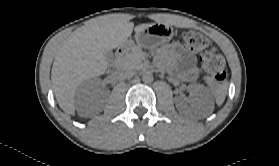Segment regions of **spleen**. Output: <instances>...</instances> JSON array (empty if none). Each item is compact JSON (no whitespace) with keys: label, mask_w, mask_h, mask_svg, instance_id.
<instances>
[{"label":"spleen","mask_w":279,"mask_h":166,"mask_svg":"<svg viewBox=\"0 0 279 166\" xmlns=\"http://www.w3.org/2000/svg\"><path fill=\"white\" fill-rule=\"evenodd\" d=\"M206 79L208 81L210 90L215 98L216 104L218 106L222 105L226 98L227 92H228V82L225 81V82L219 84V83L212 81L209 78H206Z\"/></svg>","instance_id":"obj_1"}]
</instances>
